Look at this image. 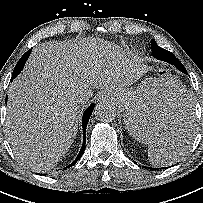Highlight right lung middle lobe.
Listing matches in <instances>:
<instances>
[{"label": "right lung middle lobe", "mask_w": 203, "mask_h": 203, "mask_svg": "<svg viewBox=\"0 0 203 203\" xmlns=\"http://www.w3.org/2000/svg\"><path fill=\"white\" fill-rule=\"evenodd\" d=\"M22 70H19L18 67L15 66L13 74H12V79H14Z\"/></svg>", "instance_id": "right-lung-middle-lobe-1"}]
</instances>
